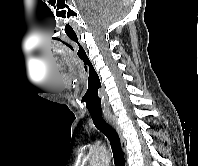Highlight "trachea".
I'll list each match as a JSON object with an SVG mask.
<instances>
[{"instance_id": "1", "label": "trachea", "mask_w": 198, "mask_h": 166, "mask_svg": "<svg viewBox=\"0 0 198 166\" xmlns=\"http://www.w3.org/2000/svg\"><path fill=\"white\" fill-rule=\"evenodd\" d=\"M94 125L109 140L113 152L115 166H126L120 138L116 130L103 118L102 113H90Z\"/></svg>"}]
</instances>
